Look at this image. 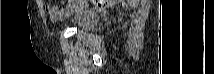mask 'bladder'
Returning a JSON list of instances; mask_svg holds the SVG:
<instances>
[{"label":"bladder","mask_w":214,"mask_h":74,"mask_svg":"<svg viewBox=\"0 0 214 74\" xmlns=\"http://www.w3.org/2000/svg\"><path fill=\"white\" fill-rule=\"evenodd\" d=\"M99 19V15L90 10H83L75 17V25L78 29L91 28Z\"/></svg>","instance_id":"bladder-1"}]
</instances>
